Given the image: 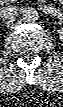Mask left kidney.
<instances>
[{"label":"left kidney","mask_w":63,"mask_h":107,"mask_svg":"<svg viewBox=\"0 0 63 107\" xmlns=\"http://www.w3.org/2000/svg\"><path fill=\"white\" fill-rule=\"evenodd\" d=\"M60 39H63V31L59 30Z\"/></svg>","instance_id":"1"}]
</instances>
